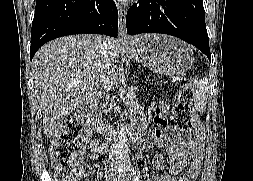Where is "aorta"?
I'll return each mask as SVG.
<instances>
[{
    "mask_svg": "<svg viewBox=\"0 0 253 181\" xmlns=\"http://www.w3.org/2000/svg\"><path fill=\"white\" fill-rule=\"evenodd\" d=\"M119 148L121 150L120 157H128V144L126 138V125L125 123H120L119 125Z\"/></svg>",
    "mask_w": 253,
    "mask_h": 181,
    "instance_id": "aorta-1",
    "label": "aorta"
}]
</instances>
